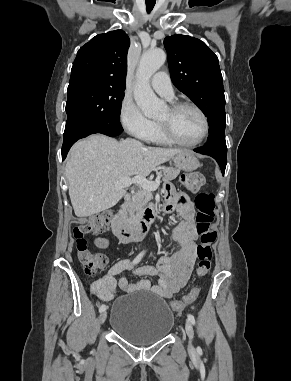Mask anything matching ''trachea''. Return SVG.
I'll use <instances>...</instances> for the list:
<instances>
[{
  "label": "trachea",
  "mask_w": 291,
  "mask_h": 381,
  "mask_svg": "<svg viewBox=\"0 0 291 381\" xmlns=\"http://www.w3.org/2000/svg\"><path fill=\"white\" fill-rule=\"evenodd\" d=\"M154 6H155V2H148V1H146V10H147L148 13H150L152 11Z\"/></svg>",
  "instance_id": "trachea-1"
}]
</instances>
